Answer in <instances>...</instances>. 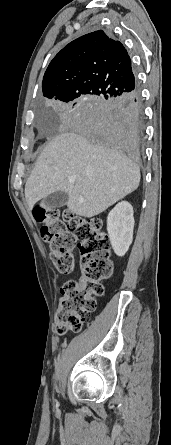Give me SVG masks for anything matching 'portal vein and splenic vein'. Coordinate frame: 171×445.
<instances>
[{"instance_id": "portal-vein-and-splenic-vein-1", "label": "portal vein and splenic vein", "mask_w": 171, "mask_h": 445, "mask_svg": "<svg viewBox=\"0 0 171 445\" xmlns=\"http://www.w3.org/2000/svg\"><path fill=\"white\" fill-rule=\"evenodd\" d=\"M68 181H69L70 183H74V182H75V180H74L73 177H69V178H68Z\"/></svg>"}]
</instances>
